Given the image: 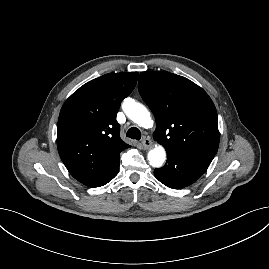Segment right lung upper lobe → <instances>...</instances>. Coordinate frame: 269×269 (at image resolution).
<instances>
[{"instance_id":"obj_1","label":"right lung upper lobe","mask_w":269,"mask_h":269,"mask_svg":"<svg viewBox=\"0 0 269 269\" xmlns=\"http://www.w3.org/2000/svg\"><path fill=\"white\" fill-rule=\"evenodd\" d=\"M137 72L109 73L81 86L63 104L57 125V148L70 174L96 187L119 165L129 148L116 120L121 101L134 89Z\"/></svg>"}]
</instances>
